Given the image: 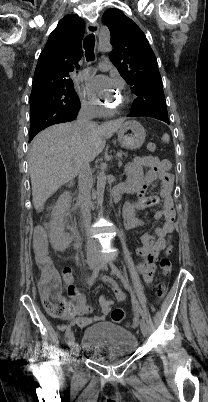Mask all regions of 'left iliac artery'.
Listing matches in <instances>:
<instances>
[{
    "label": "left iliac artery",
    "instance_id": "44dca946",
    "mask_svg": "<svg viewBox=\"0 0 208 402\" xmlns=\"http://www.w3.org/2000/svg\"><path fill=\"white\" fill-rule=\"evenodd\" d=\"M109 265H110L112 271L114 272V274L123 282L124 287L130 292L133 304H135L138 312L140 313L142 318H144V313H143L142 309L138 305V302H137L136 297H135V295H134V293H133V291H132V289H131V287L129 285L128 280L123 277L121 271L116 267L115 264L110 262Z\"/></svg>",
    "mask_w": 208,
    "mask_h": 402
}]
</instances>
